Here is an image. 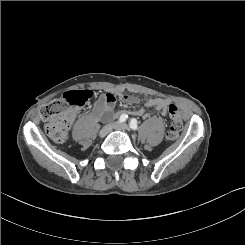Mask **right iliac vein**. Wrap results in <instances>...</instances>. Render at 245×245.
Here are the masks:
<instances>
[{"instance_id": "63e3f726", "label": "right iliac vein", "mask_w": 245, "mask_h": 245, "mask_svg": "<svg viewBox=\"0 0 245 245\" xmlns=\"http://www.w3.org/2000/svg\"><path fill=\"white\" fill-rule=\"evenodd\" d=\"M116 126V124H108L106 126H104L100 132H99V136L100 137H105L107 134H109L112 130V128Z\"/></svg>"}]
</instances>
